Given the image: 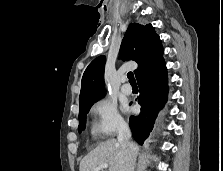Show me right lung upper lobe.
<instances>
[{"instance_id":"cb5924a9","label":"right lung upper lobe","mask_w":223,"mask_h":171,"mask_svg":"<svg viewBox=\"0 0 223 171\" xmlns=\"http://www.w3.org/2000/svg\"><path fill=\"white\" fill-rule=\"evenodd\" d=\"M163 47L159 36L151 24L130 23L121 43L119 56L122 60H134L138 69L136 78L155 67L163 58ZM105 56L94 59L86 68L80 91V107L95 103L105 94L104 67Z\"/></svg>"}]
</instances>
